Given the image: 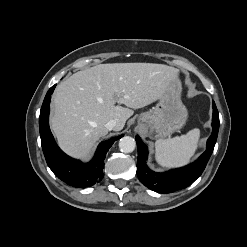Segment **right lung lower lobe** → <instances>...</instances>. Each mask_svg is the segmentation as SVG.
I'll return each mask as SVG.
<instances>
[{
  "label": "right lung lower lobe",
  "mask_w": 247,
  "mask_h": 247,
  "mask_svg": "<svg viewBox=\"0 0 247 247\" xmlns=\"http://www.w3.org/2000/svg\"><path fill=\"white\" fill-rule=\"evenodd\" d=\"M55 86L47 92L39 117L41 144L46 162L52 172L66 184L74 187H90L102 180L106 153L123 135L102 142L89 163H82L67 156L55 143L49 128V105Z\"/></svg>",
  "instance_id": "obj_1"
}]
</instances>
